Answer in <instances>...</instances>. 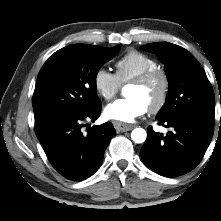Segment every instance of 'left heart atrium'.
Returning <instances> with one entry per match:
<instances>
[{
	"mask_svg": "<svg viewBox=\"0 0 221 221\" xmlns=\"http://www.w3.org/2000/svg\"><path fill=\"white\" fill-rule=\"evenodd\" d=\"M147 105L138 98L118 99L105 108V116L119 122H133L147 112Z\"/></svg>",
	"mask_w": 221,
	"mask_h": 221,
	"instance_id": "39dd6f15",
	"label": "left heart atrium"
}]
</instances>
